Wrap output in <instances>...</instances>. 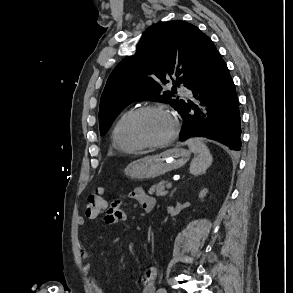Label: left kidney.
<instances>
[{
  "label": "left kidney",
  "instance_id": "obj_1",
  "mask_svg": "<svg viewBox=\"0 0 293 293\" xmlns=\"http://www.w3.org/2000/svg\"><path fill=\"white\" fill-rule=\"evenodd\" d=\"M208 193V189L207 188H204L200 191L199 193V198L203 201L204 197L207 195Z\"/></svg>",
  "mask_w": 293,
  "mask_h": 293
}]
</instances>
